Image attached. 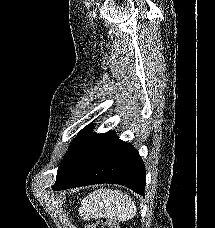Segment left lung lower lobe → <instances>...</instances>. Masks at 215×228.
<instances>
[{"mask_svg": "<svg viewBox=\"0 0 215 228\" xmlns=\"http://www.w3.org/2000/svg\"><path fill=\"white\" fill-rule=\"evenodd\" d=\"M145 167L137 150L114 132L91 133L58 171L53 190L98 183L125 185L144 195Z\"/></svg>", "mask_w": 215, "mask_h": 228, "instance_id": "1", "label": "left lung lower lobe"}]
</instances>
